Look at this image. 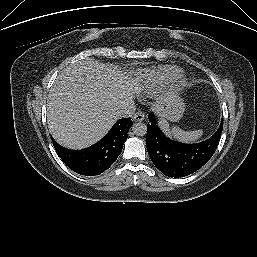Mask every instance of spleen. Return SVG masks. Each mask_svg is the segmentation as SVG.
I'll return each mask as SVG.
<instances>
[{
  "mask_svg": "<svg viewBox=\"0 0 257 257\" xmlns=\"http://www.w3.org/2000/svg\"><path fill=\"white\" fill-rule=\"evenodd\" d=\"M163 130L168 136H173L174 138L178 139L182 142H194L195 140L199 139L203 131L202 130H195V131H184L179 127H173L171 130L169 125L166 121L160 122Z\"/></svg>",
  "mask_w": 257,
  "mask_h": 257,
  "instance_id": "spleen-1",
  "label": "spleen"
}]
</instances>
